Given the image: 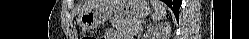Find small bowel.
Here are the masks:
<instances>
[{
	"instance_id": "1",
	"label": "small bowel",
	"mask_w": 249,
	"mask_h": 39,
	"mask_svg": "<svg viewBox=\"0 0 249 39\" xmlns=\"http://www.w3.org/2000/svg\"><path fill=\"white\" fill-rule=\"evenodd\" d=\"M102 39H117V35L114 30L109 29L106 31L105 35L102 37Z\"/></svg>"
}]
</instances>
